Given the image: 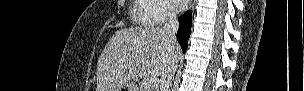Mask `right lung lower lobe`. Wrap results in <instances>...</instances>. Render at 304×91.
Returning <instances> with one entry per match:
<instances>
[{"label": "right lung lower lobe", "mask_w": 304, "mask_h": 91, "mask_svg": "<svg viewBox=\"0 0 304 91\" xmlns=\"http://www.w3.org/2000/svg\"><path fill=\"white\" fill-rule=\"evenodd\" d=\"M179 29L177 32V40L180 43L183 52L186 51L188 45V39L190 36L191 25H192V14L191 11H187L181 17H179Z\"/></svg>", "instance_id": "obj_1"}]
</instances>
